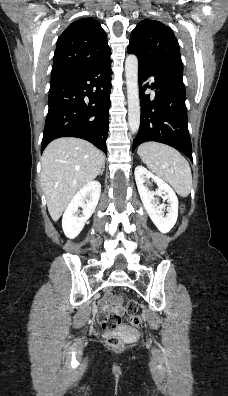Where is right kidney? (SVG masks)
I'll list each match as a JSON object with an SVG mask.
<instances>
[{
  "label": "right kidney",
  "instance_id": "ca27d5eb",
  "mask_svg": "<svg viewBox=\"0 0 228 396\" xmlns=\"http://www.w3.org/2000/svg\"><path fill=\"white\" fill-rule=\"evenodd\" d=\"M101 193V184L91 181L82 187L68 204L62 218L64 234L73 239L83 229L85 222L96 209ZM82 208V216L78 217V210Z\"/></svg>",
  "mask_w": 228,
  "mask_h": 396
}]
</instances>
